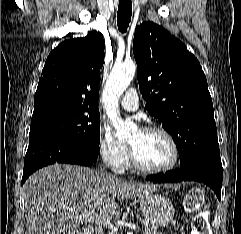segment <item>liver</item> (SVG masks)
Returning a JSON list of instances; mask_svg holds the SVG:
<instances>
[{"label":"liver","mask_w":241,"mask_h":234,"mask_svg":"<svg viewBox=\"0 0 241 234\" xmlns=\"http://www.w3.org/2000/svg\"><path fill=\"white\" fill-rule=\"evenodd\" d=\"M156 188L88 167H44L23 186L26 234H81L80 223L93 222L90 217L98 215L118 217L122 212L118 202L149 195Z\"/></svg>","instance_id":"liver-1"}]
</instances>
